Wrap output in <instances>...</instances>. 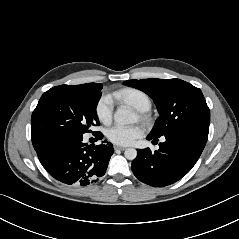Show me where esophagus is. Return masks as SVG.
<instances>
[{"instance_id":"obj_1","label":"esophagus","mask_w":239,"mask_h":239,"mask_svg":"<svg viewBox=\"0 0 239 239\" xmlns=\"http://www.w3.org/2000/svg\"><path fill=\"white\" fill-rule=\"evenodd\" d=\"M126 148L121 146H115V150L124 151Z\"/></svg>"}]
</instances>
